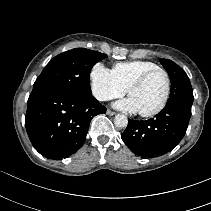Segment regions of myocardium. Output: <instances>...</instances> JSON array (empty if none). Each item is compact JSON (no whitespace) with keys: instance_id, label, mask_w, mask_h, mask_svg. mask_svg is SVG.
Wrapping results in <instances>:
<instances>
[{"instance_id":"1","label":"myocardium","mask_w":211,"mask_h":211,"mask_svg":"<svg viewBox=\"0 0 211 211\" xmlns=\"http://www.w3.org/2000/svg\"><path fill=\"white\" fill-rule=\"evenodd\" d=\"M157 72L163 73L166 77L165 95H164L162 102L155 109L148 111V112H139V115L142 116V117H153V116L159 114L165 108V106L167 105L169 97H170V93H171V77H170V74L168 73L167 70L160 68V67L149 70V71L145 72L144 74H142L139 78H137L127 89V94H128V96H130V94L135 89L141 87L153 74H155Z\"/></svg>"}]
</instances>
